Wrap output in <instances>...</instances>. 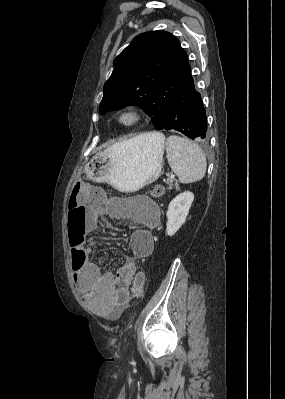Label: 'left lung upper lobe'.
Listing matches in <instances>:
<instances>
[{"label": "left lung upper lobe", "mask_w": 285, "mask_h": 399, "mask_svg": "<svg viewBox=\"0 0 285 399\" xmlns=\"http://www.w3.org/2000/svg\"><path fill=\"white\" fill-rule=\"evenodd\" d=\"M113 65L104 85L100 113L139 105L161 130L174 97L191 79L188 56L179 40L166 31L142 33Z\"/></svg>", "instance_id": "obj_1"}]
</instances>
